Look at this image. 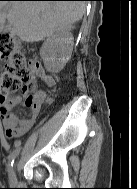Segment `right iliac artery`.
I'll return each instance as SVG.
<instances>
[{
    "label": "right iliac artery",
    "instance_id": "1",
    "mask_svg": "<svg viewBox=\"0 0 137 189\" xmlns=\"http://www.w3.org/2000/svg\"><path fill=\"white\" fill-rule=\"evenodd\" d=\"M20 148H16L9 156L8 159V165H7V170L9 173H11L13 165H14V161L15 158L17 157V155L19 154Z\"/></svg>",
    "mask_w": 137,
    "mask_h": 189
}]
</instances>
